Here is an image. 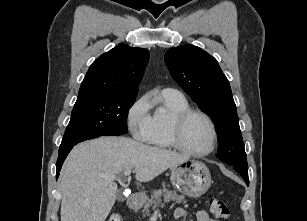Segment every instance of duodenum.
Segmentation results:
<instances>
[{"label":"duodenum","mask_w":307,"mask_h":221,"mask_svg":"<svg viewBox=\"0 0 307 221\" xmlns=\"http://www.w3.org/2000/svg\"><path fill=\"white\" fill-rule=\"evenodd\" d=\"M140 202H141V195L138 193H135L131 195L127 201L128 208L131 210H136L139 208Z\"/></svg>","instance_id":"410a0bca"}]
</instances>
